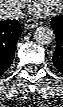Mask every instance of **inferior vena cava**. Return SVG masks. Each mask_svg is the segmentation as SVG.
<instances>
[{
	"label": "inferior vena cava",
	"mask_w": 63,
	"mask_h": 107,
	"mask_svg": "<svg viewBox=\"0 0 63 107\" xmlns=\"http://www.w3.org/2000/svg\"><path fill=\"white\" fill-rule=\"evenodd\" d=\"M22 2L19 0H2L0 17L2 19H20L23 17Z\"/></svg>",
	"instance_id": "602c4592"
}]
</instances>
